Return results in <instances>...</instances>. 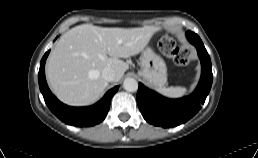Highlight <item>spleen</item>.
<instances>
[{
    "instance_id": "obj_1",
    "label": "spleen",
    "mask_w": 258,
    "mask_h": 158,
    "mask_svg": "<svg viewBox=\"0 0 258 158\" xmlns=\"http://www.w3.org/2000/svg\"><path fill=\"white\" fill-rule=\"evenodd\" d=\"M155 90L160 94L169 98H180L184 96L187 92L185 87H156Z\"/></svg>"
}]
</instances>
